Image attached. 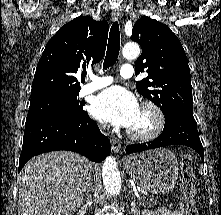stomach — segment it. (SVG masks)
I'll use <instances>...</instances> for the list:
<instances>
[{
  "label": "stomach",
  "mask_w": 221,
  "mask_h": 215,
  "mask_svg": "<svg viewBox=\"0 0 221 215\" xmlns=\"http://www.w3.org/2000/svg\"><path fill=\"white\" fill-rule=\"evenodd\" d=\"M123 164L138 186L153 195L169 193L178 180L177 158L166 148L128 156Z\"/></svg>",
  "instance_id": "stomach-1"
}]
</instances>
